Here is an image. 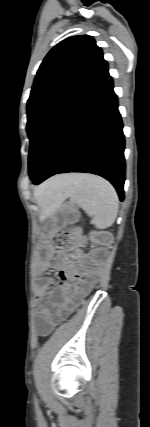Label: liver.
<instances>
[{
	"instance_id": "obj_1",
	"label": "liver",
	"mask_w": 150,
	"mask_h": 427,
	"mask_svg": "<svg viewBox=\"0 0 150 427\" xmlns=\"http://www.w3.org/2000/svg\"><path fill=\"white\" fill-rule=\"evenodd\" d=\"M65 178L66 176L53 177L34 190V195L37 200V203L42 209L46 210L51 205V202L49 201L46 195V192L49 189V187L52 186L53 184H57L61 182Z\"/></svg>"
}]
</instances>
